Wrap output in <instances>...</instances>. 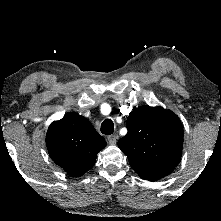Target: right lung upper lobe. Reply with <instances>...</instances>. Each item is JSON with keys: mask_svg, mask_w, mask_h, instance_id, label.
Here are the masks:
<instances>
[{"mask_svg": "<svg viewBox=\"0 0 221 221\" xmlns=\"http://www.w3.org/2000/svg\"><path fill=\"white\" fill-rule=\"evenodd\" d=\"M46 144L52 160L77 177L95 165L97 153L106 141L88 119L71 113L49 126Z\"/></svg>", "mask_w": 221, "mask_h": 221, "instance_id": "right-lung-upper-lobe-1", "label": "right lung upper lobe"}]
</instances>
